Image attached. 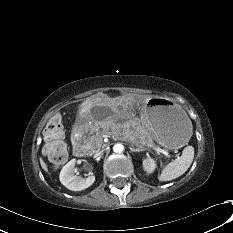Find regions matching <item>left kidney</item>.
Wrapping results in <instances>:
<instances>
[{"label":"left kidney","mask_w":233,"mask_h":233,"mask_svg":"<svg viewBox=\"0 0 233 233\" xmlns=\"http://www.w3.org/2000/svg\"><path fill=\"white\" fill-rule=\"evenodd\" d=\"M143 167H144V169H145L146 172L152 173L155 170V168H156V163L151 158L150 159H145L143 161Z\"/></svg>","instance_id":"5707ae66"}]
</instances>
